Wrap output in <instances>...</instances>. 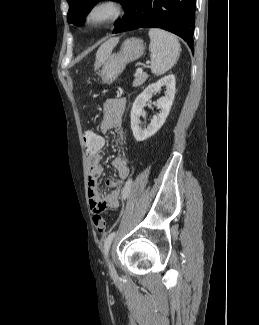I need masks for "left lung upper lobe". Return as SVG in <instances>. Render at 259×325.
I'll return each instance as SVG.
<instances>
[{
	"label": "left lung upper lobe",
	"mask_w": 259,
	"mask_h": 325,
	"mask_svg": "<svg viewBox=\"0 0 259 325\" xmlns=\"http://www.w3.org/2000/svg\"><path fill=\"white\" fill-rule=\"evenodd\" d=\"M101 0H67L69 3L68 23L80 26V21L92 9V7ZM120 2L125 8L129 0H114ZM118 21L115 22V25Z\"/></svg>",
	"instance_id": "left-lung-upper-lobe-1"
}]
</instances>
